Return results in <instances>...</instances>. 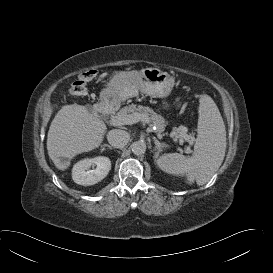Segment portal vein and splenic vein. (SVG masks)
I'll return each instance as SVG.
<instances>
[{
	"instance_id": "portal-vein-and-splenic-vein-1",
	"label": "portal vein and splenic vein",
	"mask_w": 273,
	"mask_h": 273,
	"mask_svg": "<svg viewBox=\"0 0 273 273\" xmlns=\"http://www.w3.org/2000/svg\"><path fill=\"white\" fill-rule=\"evenodd\" d=\"M139 121L142 122H148L147 120H145L144 115L140 114V113H134L131 115H127L125 117H114L111 119V123L115 126H120V125H131V124H135ZM154 129H152L151 127L149 128V131H153Z\"/></svg>"
}]
</instances>
